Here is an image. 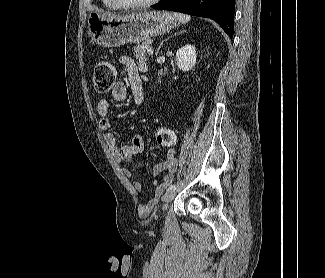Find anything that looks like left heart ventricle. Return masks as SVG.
<instances>
[{
	"instance_id": "left-heart-ventricle-1",
	"label": "left heart ventricle",
	"mask_w": 325,
	"mask_h": 278,
	"mask_svg": "<svg viewBox=\"0 0 325 278\" xmlns=\"http://www.w3.org/2000/svg\"><path fill=\"white\" fill-rule=\"evenodd\" d=\"M126 1L138 3V2H143V1H146V0H126Z\"/></svg>"
}]
</instances>
